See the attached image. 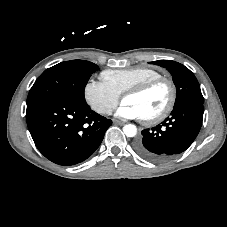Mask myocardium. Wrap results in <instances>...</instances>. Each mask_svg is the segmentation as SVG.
Masks as SVG:
<instances>
[{
  "label": "myocardium",
  "instance_id": "1",
  "mask_svg": "<svg viewBox=\"0 0 227 227\" xmlns=\"http://www.w3.org/2000/svg\"><path fill=\"white\" fill-rule=\"evenodd\" d=\"M162 83L166 84L169 88V100H168L166 106L164 107V109L160 113H158L152 117L141 118L145 124L151 125V124L159 123V122L163 121L164 119H166L172 112V110L175 106V103H176V99H177V89H176V85L173 82V80H171L170 78H167V77H163V76L157 77V78L148 80L142 84H139L133 88H130L123 93L122 99H124L127 96L142 95V94L148 92L149 90H151L152 88H154L155 86L162 84Z\"/></svg>",
  "mask_w": 227,
  "mask_h": 227
}]
</instances>
